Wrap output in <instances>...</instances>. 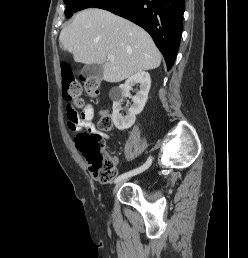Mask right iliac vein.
Listing matches in <instances>:
<instances>
[{
	"instance_id": "obj_1",
	"label": "right iliac vein",
	"mask_w": 248,
	"mask_h": 258,
	"mask_svg": "<svg viewBox=\"0 0 248 258\" xmlns=\"http://www.w3.org/2000/svg\"><path fill=\"white\" fill-rule=\"evenodd\" d=\"M126 181H127V179H123V180L119 181V182L115 185V187H114V189H113V194H115L116 191L119 189V187H120L124 182H126Z\"/></svg>"
}]
</instances>
